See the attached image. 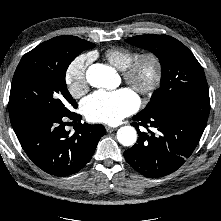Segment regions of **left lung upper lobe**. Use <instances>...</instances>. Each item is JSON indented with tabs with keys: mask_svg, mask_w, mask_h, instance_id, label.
<instances>
[{
	"mask_svg": "<svg viewBox=\"0 0 221 221\" xmlns=\"http://www.w3.org/2000/svg\"><path fill=\"white\" fill-rule=\"evenodd\" d=\"M154 53L162 68L161 86L142 112H156L174 101L195 98L210 103L202 66L192 52L168 35H138L126 40Z\"/></svg>",
	"mask_w": 221,
	"mask_h": 221,
	"instance_id": "1",
	"label": "left lung upper lobe"
}]
</instances>
